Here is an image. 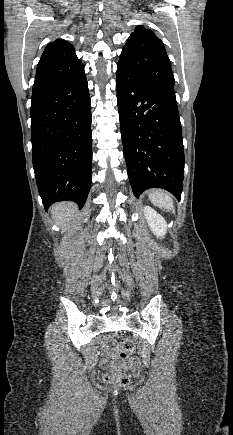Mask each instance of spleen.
Wrapping results in <instances>:
<instances>
[{"mask_svg": "<svg viewBox=\"0 0 233 435\" xmlns=\"http://www.w3.org/2000/svg\"><path fill=\"white\" fill-rule=\"evenodd\" d=\"M148 197L155 206L164 208L167 211L174 210L173 199L169 193L160 189H153L148 193Z\"/></svg>", "mask_w": 233, "mask_h": 435, "instance_id": "spleen-1", "label": "spleen"}]
</instances>
